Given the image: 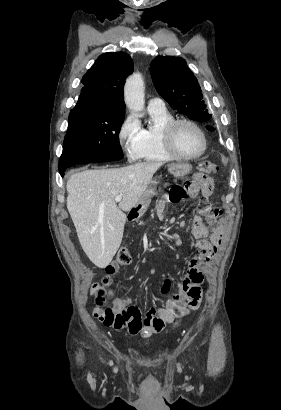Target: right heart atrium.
Segmentation results:
<instances>
[{"instance_id": "1", "label": "right heart atrium", "mask_w": 281, "mask_h": 410, "mask_svg": "<svg viewBox=\"0 0 281 410\" xmlns=\"http://www.w3.org/2000/svg\"><path fill=\"white\" fill-rule=\"evenodd\" d=\"M143 137V127L138 118L129 114L122 121L118 131V141L129 160L138 159Z\"/></svg>"}]
</instances>
